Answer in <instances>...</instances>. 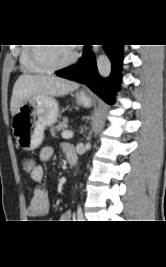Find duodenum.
Returning <instances> with one entry per match:
<instances>
[{"label": "duodenum", "mask_w": 166, "mask_h": 267, "mask_svg": "<svg viewBox=\"0 0 166 267\" xmlns=\"http://www.w3.org/2000/svg\"><path fill=\"white\" fill-rule=\"evenodd\" d=\"M67 161H68L69 165L72 167L76 166V164H77V158L75 156H69L67 158Z\"/></svg>", "instance_id": "410a0bca"}]
</instances>
